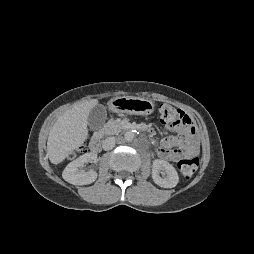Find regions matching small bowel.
I'll return each mask as SVG.
<instances>
[{"instance_id": "small-bowel-1", "label": "small bowel", "mask_w": 254, "mask_h": 254, "mask_svg": "<svg viewBox=\"0 0 254 254\" xmlns=\"http://www.w3.org/2000/svg\"><path fill=\"white\" fill-rule=\"evenodd\" d=\"M181 135L168 136L161 140L158 155L167 161H178L184 154L193 156L197 153V141L188 126L176 127ZM175 147V148H173Z\"/></svg>"}]
</instances>
